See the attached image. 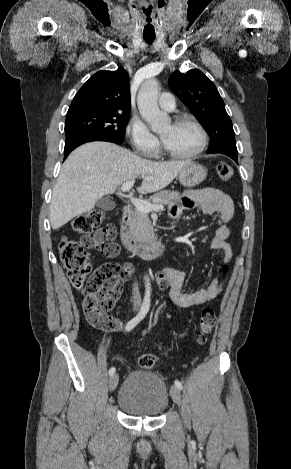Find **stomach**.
Instances as JSON below:
<instances>
[{"instance_id": "obj_1", "label": "stomach", "mask_w": 291, "mask_h": 469, "mask_svg": "<svg viewBox=\"0 0 291 469\" xmlns=\"http://www.w3.org/2000/svg\"><path fill=\"white\" fill-rule=\"evenodd\" d=\"M207 175V169L200 164L190 163L179 172V182L188 188L200 184Z\"/></svg>"}]
</instances>
